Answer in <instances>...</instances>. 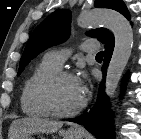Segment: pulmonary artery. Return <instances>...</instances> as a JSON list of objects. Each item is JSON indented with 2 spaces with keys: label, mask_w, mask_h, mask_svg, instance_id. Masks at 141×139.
<instances>
[{
  "label": "pulmonary artery",
  "mask_w": 141,
  "mask_h": 139,
  "mask_svg": "<svg viewBox=\"0 0 141 139\" xmlns=\"http://www.w3.org/2000/svg\"><path fill=\"white\" fill-rule=\"evenodd\" d=\"M81 49L87 53L98 51L99 44L94 40H87L82 43ZM68 56L67 50H53L45 55V58L57 67H61Z\"/></svg>",
  "instance_id": "pulmonary-artery-1"
}]
</instances>
